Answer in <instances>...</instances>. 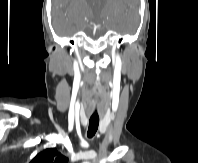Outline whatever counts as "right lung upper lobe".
I'll list each match as a JSON object with an SVG mask.
<instances>
[{"mask_svg":"<svg viewBox=\"0 0 198 163\" xmlns=\"http://www.w3.org/2000/svg\"><path fill=\"white\" fill-rule=\"evenodd\" d=\"M68 159L56 148H48L38 153L30 163H67Z\"/></svg>","mask_w":198,"mask_h":163,"instance_id":"cb5924a9","label":"right lung upper lobe"}]
</instances>
